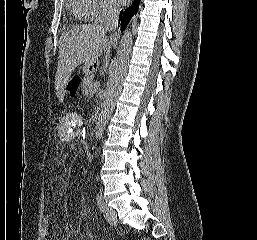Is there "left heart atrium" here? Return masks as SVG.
Returning a JSON list of instances; mask_svg holds the SVG:
<instances>
[{"instance_id": "left-heart-atrium-1", "label": "left heart atrium", "mask_w": 257, "mask_h": 240, "mask_svg": "<svg viewBox=\"0 0 257 240\" xmlns=\"http://www.w3.org/2000/svg\"><path fill=\"white\" fill-rule=\"evenodd\" d=\"M120 4H126L129 0H117Z\"/></svg>"}]
</instances>
